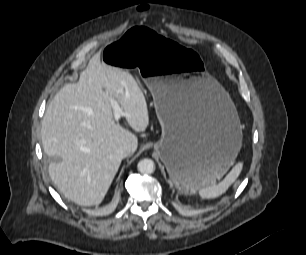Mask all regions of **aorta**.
<instances>
[{
    "instance_id": "1",
    "label": "aorta",
    "mask_w": 306,
    "mask_h": 255,
    "mask_svg": "<svg viewBox=\"0 0 306 255\" xmlns=\"http://www.w3.org/2000/svg\"><path fill=\"white\" fill-rule=\"evenodd\" d=\"M137 169L142 174H152L155 171L153 160L145 158L138 162Z\"/></svg>"
}]
</instances>
